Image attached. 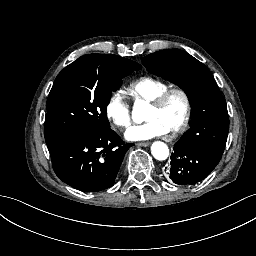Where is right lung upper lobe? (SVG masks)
<instances>
[{
	"label": "right lung upper lobe",
	"mask_w": 256,
	"mask_h": 256,
	"mask_svg": "<svg viewBox=\"0 0 256 256\" xmlns=\"http://www.w3.org/2000/svg\"><path fill=\"white\" fill-rule=\"evenodd\" d=\"M94 56L111 57V58H115L116 60H121L126 63H131L133 66H140L138 63L133 62L129 59H125V58H122V57H119L116 55H111V54H88V55H84V56L80 57L78 60H82V59H86V58H90V57H94Z\"/></svg>",
	"instance_id": "1"
}]
</instances>
